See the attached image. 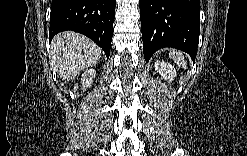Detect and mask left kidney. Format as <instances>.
Instances as JSON below:
<instances>
[{
    "label": "left kidney",
    "instance_id": "5707ae66",
    "mask_svg": "<svg viewBox=\"0 0 247 156\" xmlns=\"http://www.w3.org/2000/svg\"><path fill=\"white\" fill-rule=\"evenodd\" d=\"M154 67L162 78L169 83L172 82L177 75L175 68L165 61H155Z\"/></svg>",
    "mask_w": 247,
    "mask_h": 156
}]
</instances>
